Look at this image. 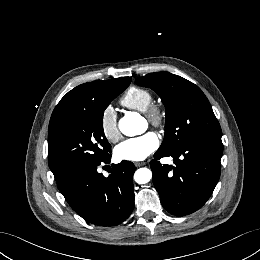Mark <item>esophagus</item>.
<instances>
[{"mask_svg":"<svg viewBox=\"0 0 260 260\" xmlns=\"http://www.w3.org/2000/svg\"><path fill=\"white\" fill-rule=\"evenodd\" d=\"M134 164L136 167H141V166L145 165L144 162H135Z\"/></svg>","mask_w":260,"mask_h":260,"instance_id":"obj_1","label":"esophagus"}]
</instances>
